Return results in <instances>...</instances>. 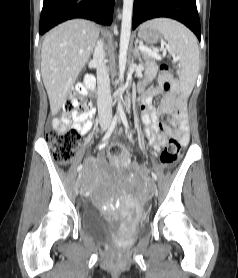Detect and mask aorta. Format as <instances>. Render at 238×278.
I'll return each instance as SVG.
<instances>
[{
    "instance_id": "obj_1",
    "label": "aorta",
    "mask_w": 238,
    "mask_h": 278,
    "mask_svg": "<svg viewBox=\"0 0 238 278\" xmlns=\"http://www.w3.org/2000/svg\"><path fill=\"white\" fill-rule=\"evenodd\" d=\"M134 0H123V12L119 50V80L122 83L127 61V50L131 36L132 11ZM119 98H122V87L119 88ZM117 112H122L121 101L118 102Z\"/></svg>"
}]
</instances>
